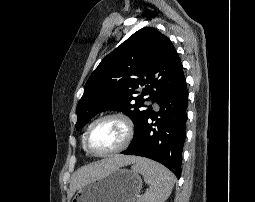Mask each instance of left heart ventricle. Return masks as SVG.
Here are the masks:
<instances>
[{
    "instance_id": "left-heart-ventricle-1",
    "label": "left heart ventricle",
    "mask_w": 255,
    "mask_h": 202,
    "mask_svg": "<svg viewBox=\"0 0 255 202\" xmlns=\"http://www.w3.org/2000/svg\"><path fill=\"white\" fill-rule=\"evenodd\" d=\"M125 136L124 126L117 120H107L98 124L89 137L90 147L99 153L118 147Z\"/></svg>"
}]
</instances>
